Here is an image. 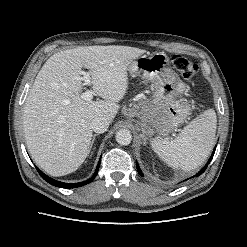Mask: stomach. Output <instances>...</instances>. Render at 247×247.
<instances>
[{"instance_id": "0dacf381", "label": "stomach", "mask_w": 247, "mask_h": 247, "mask_svg": "<svg viewBox=\"0 0 247 247\" xmlns=\"http://www.w3.org/2000/svg\"><path fill=\"white\" fill-rule=\"evenodd\" d=\"M169 57L164 52L143 55L128 67L132 77H140L152 83V100L136 105V127L144 137L155 133L167 136L182 124L190 114V107L182 98L186 85L170 69Z\"/></svg>"}]
</instances>
